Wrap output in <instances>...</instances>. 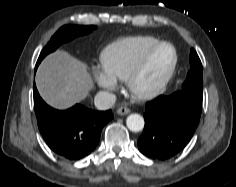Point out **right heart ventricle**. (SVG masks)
<instances>
[{
	"mask_svg": "<svg viewBox=\"0 0 236 187\" xmlns=\"http://www.w3.org/2000/svg\"><path fill=\"white\" fill-rule=\"evenodd\" d=\"M158 42L157 38L148 35L121 38L102 50L103 69L116 79L126 80L141 56Z\"/></svg>",
	"mask_w": 236,
	"mask_h": 187,
	"instance_id": "obj_1",
	"label": "right heart ventricle"
}]
</instances>
